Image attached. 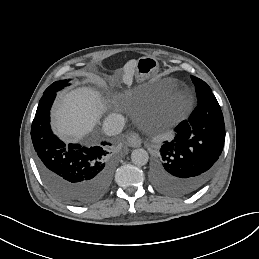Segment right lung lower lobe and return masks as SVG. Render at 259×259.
Segmentation results:
<instances>
[{
	"instance_id": "obj_1",
	"label": "right lung lower lobe",
	"mask_w": 259,
	"mask_h": 259,
	"mask_svg": "<svg viewBox=\"0 0 259 259\" xmlns=\"http://www.w3.org/2000/svg\"><path fill=\"white\" fill-rule=\"evenodd\" d=\"M56 93L40 99L31 127L36 162L43 180L60 199L75 205L91 204L108 191L113 166L106 150L110 145H66L50 128V109Z\"/></svg>"
}]
</instances>
